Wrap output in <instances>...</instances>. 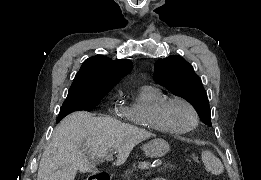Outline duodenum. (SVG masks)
<instances>
[{
  "label": "duodenum",
  "instance_id": "duodenum-1",
  "mask_svg": "<svg viewBox=\"0 0 261 180\" xmlns=\"http://www.w3.org/2000/svg\"><path fill=\"white\" fill-rule=\"evenodd\" d=\"M87 180H110L108 173H91V177H88Z\"/></svg>",
  "mask_w": 261,
  "mask_h": 180
}]
</instances>
